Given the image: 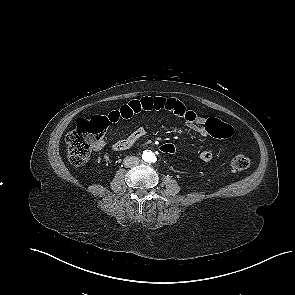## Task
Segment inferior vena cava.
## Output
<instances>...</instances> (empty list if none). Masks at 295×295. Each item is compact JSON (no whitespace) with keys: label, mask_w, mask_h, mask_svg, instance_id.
I'll return each mask as SVG.
<instances>
[{"label":"inferior vena cava","mask_w":295,"mask_h":295,"mask_svg":"<svg viewBox=\"0 0 295 295\" xmlns=\"http://www.w3.org/2000/svg\"><path fill=\"white\" fill-rule=\"evenodd\" d=\"M139 158L135 156H128L124 159V166L127 168L134 167L139 164Z\"/></svg>","instance_id":"obj_1"}]
</instances>
